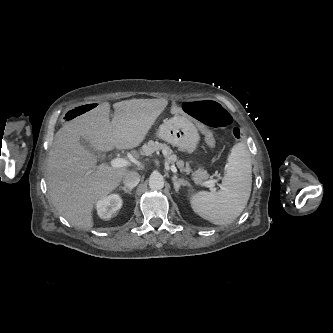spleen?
Listing matches in <instances>:
<instances>
[{"mask_svg":"<svg viewBox=\"0 0 333 333\" xmlns=\"http://www.w3.org/2000/svg\"><path fill=\"white\" fill-rule=\"evenodd\" d=\"M227 171L217 192L192 195L193 211L216 225L234 221L244 210L252 187L251 153L245 143L235 144L228 156Z\"/></svg>","mask_w":333,"mask_h":333,"instance_id":"obj_1","label":"spleen"}]
</instances>
